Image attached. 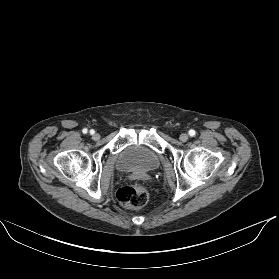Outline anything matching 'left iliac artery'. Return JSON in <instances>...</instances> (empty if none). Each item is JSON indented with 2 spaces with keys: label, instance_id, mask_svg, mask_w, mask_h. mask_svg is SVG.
<instances>
[{
  "label": "left iliac artery",
  "instance_id": "obj_1",
  "mask_svg": "<svg viewBox=\"0 0 279 279\" xmlns=\"http://www.w3.org/2000/svg\"><path fill=\"white\" fill-rule=\"evenodd\" d=\"M195 134H196L195 130H193V129L189 130V135L191 137H193Z\"/></svg>",
  "mask_w": 279,
  "mask_h": 279
}]
</instances>
